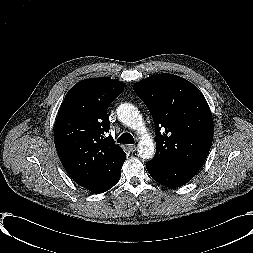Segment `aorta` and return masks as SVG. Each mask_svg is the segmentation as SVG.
Wrapping results in <instances>:
<instances>
[{
  "label": "aorta",
  "instance_id": "aorta-1",
  "mask_svg": "<svg viewBox=\"0 0 253 253\" xmlns=\"http://www.w3.org/2000/svg\"><path fill=\"white\" fill-rule=\"evenodd\" d=\"M118 119L136 130L141 135V140L138 144V155L142 159H152L155 154V144L153 140L146 134V128L139 110L130 103H123L117 109Z\"/></svg>",
  "mask_w": 253,
  "mask_h": 253
}]
</instances>
